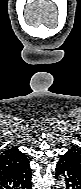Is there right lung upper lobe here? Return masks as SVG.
Wrapping results in <instances>:
<instances>
[{"label":"right lung upper lobe","mask_w":81,"mask_h":189,"mask_svg":"<svg viewBox=\"0 0 81 189\" xmlns=\"http://www.w3.org/2000/svg\"><path fill=\"white\" fill-rule=\"evenodd\" d=\"M27 160L17 147L7 149L0 155V175L13 170Z\"/></svg>","instance_id":"cb5924a9"}]
</instances>
